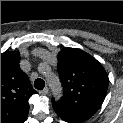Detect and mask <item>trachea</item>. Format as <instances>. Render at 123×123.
<instances>
[{
	"label": "trachea",
	"mask_w": 123,
	"mask_h": 123,
	"mask_svg": "<svg viewBox=\"0 0 123 123\" xmlns=\"http://www.w3.org/2000/svg\"><path fill=\"white\" fill-rule=\"evenodd\" d=\"M45 86V82L43 79H36L35 82H34V87L37 89V90H42Z\"/></svg>",
	"instance_id": "trachea-1"
}]
</instances>
